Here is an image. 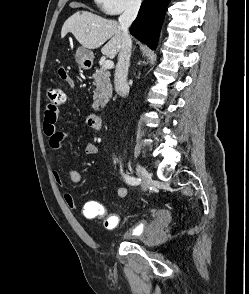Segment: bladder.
<instances>
[{"label":"bladder","instance_id":"obj_1","mask_svg":"<svg viewBox=\"0 0 249 294\" xmlns=\"http://www.w3.org/2000/svg\"><path fill=\"white\" fill-rule=\"evenodd\" d=\"M171 216L169 213L165 212L164 215H161L157 218L156 223H149L147 221L141 220L139 221L136 226L133 228L132 231L125 233L122 235V239L124 240H130L135 239L138 241H143L147 237L151 236L156 229L161 228L164 224H167L170 222Z\"/></svg>","mask_w":249,"mask_h":294}]
</instances>
